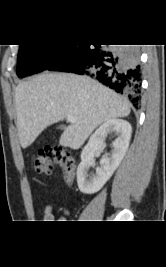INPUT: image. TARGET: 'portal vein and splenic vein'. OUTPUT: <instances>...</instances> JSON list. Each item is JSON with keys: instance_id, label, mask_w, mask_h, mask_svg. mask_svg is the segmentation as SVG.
Masks as SVG:
<instances>
[{"instance_id": "1", "label": "portal vein and splenic vein", "mask_w": 166, "mask_h": 267, "mask_svg": "<svg viewBox=\"0 0 166 267\" xmlns=\"http://www.w3.org/2000/svg\"><path fill=\"white\" fill-rule=\"evenodd\" d=\"M67 120L70 122V123H75L76 122V118L74 115L72 114H67Z\"/></svg>"}]
</instances>
